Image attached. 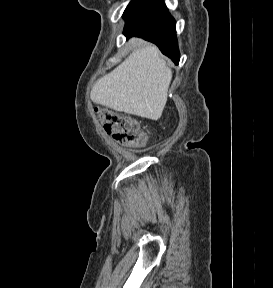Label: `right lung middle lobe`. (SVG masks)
Returning a JSON list of instances; mask_svg holds the SVG:
<instances>
[{
	"mask_svg": "<svg viewBox=\"0 0 273 288\" xmlns=\"http://www.w3.org/2000/svg\"><path fill=\"white\" fill-rule=\"evenodd\" d=\"M139 0H132L129 5L127 6L126 10L124 11L123 18H125L131 10L134 8V6L137 4Z\"/></svg>",
	"mask_w": 273,
	"mask_h": 288,
	"instance_id": "dd1d6c3e",
	"label": "right lung middle lobe"
}]
</instances>
